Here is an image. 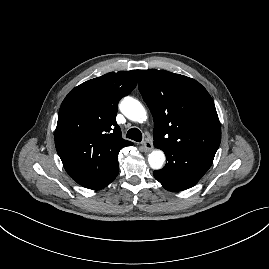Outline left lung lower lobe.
I'll use <instances>...</instances> for the list:
<instances>
[{
    "label": "left lung lower lobe",
    "mask_w": 269,
    "mask_h": 269,
    "mask_svg": "<svg viewBox=\"0 0 269 269\" xmlns=\"http://www.w3.org/2000/svg\"><path fill=\"white\" fill-rule=\"evenodd\" d=\"M168 162L154 177L169 191H182L194 186L212 165L215 153L182 147L162 149Z\"/></svg>",
    "instance_id": "left-lung-lower-lobe-1"
}]
</instances>
